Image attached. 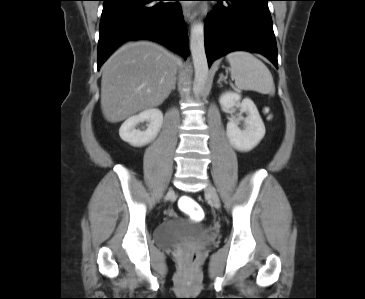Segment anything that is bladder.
<instances>
[{"mask_svg":"<svg viewBox=\"0 0 365 299\" xmlns=\"http://www.w3.org/2000/svg\"><path fill=\"white\" fill-rule=\"evenodd\" d=\"M155 241L161 248L175 249L186 243L206 245L211 242V236L205 226H195L182 218L173 217L156 227Z\"/></svg>","mask_w":365,"mask_h":299,"instance_id":"bladder-1","label":"bladder"}]
</instances>
